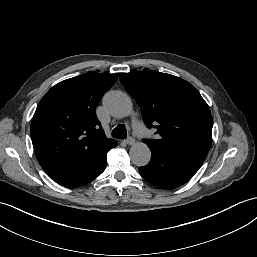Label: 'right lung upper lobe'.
I'll return each instance as SVG.
<instances>
[{
    "label": "right lung upper lobe",
    "mask_w": 257,
    "mask_h": 257,
    "mask_svg": "<svg viewBox=\"0 0 257 257\" xmlns=\"http://www.w3.org/2000/svg\"><path fill=\"white\" fill-rule=\"evenodd\" d=\"M117 79V74L87 72L56 84L40 101L31 139L42 168L53 180L80 174L116 145L106 138L95 110Z\"/></svg>",
    "instance_id": "cb5924a9"
}]
</instances>
